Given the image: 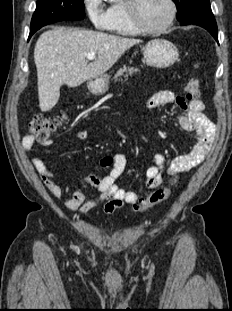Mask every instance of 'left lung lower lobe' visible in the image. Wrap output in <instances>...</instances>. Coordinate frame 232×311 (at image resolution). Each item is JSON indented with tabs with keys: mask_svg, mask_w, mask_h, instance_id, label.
Segmentation results:
<instances>
[{
	"mask_svg": "<svg viewBox=\"0 0 232 311\" xmlns=\"http://www.w3.org/2000/svg\"><path fill=\"white\" fill-rule=\"evenodd\" d=\"M181 25L195 24L208 30L218 42L217 25L212 13L210 3H206L196 8L190 13L178 19Z\"/></svg>",
	"mask_w": 232,
	"mask_h": 311,
	"instance_id": "obj_1",
	"label": "left lung lower lobe"
}]
</instances>
